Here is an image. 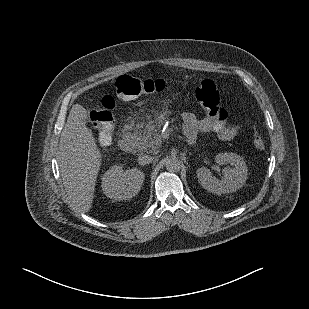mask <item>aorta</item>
Here are the masks:
<instances>
[{
    "mask_svg": "<svg viewBox=\"0 0 309 309\" xmlns=\"http://www.w3.org/2000/svg\"><path fill=\"white\" fill-rule=\"evenodd\" d=\"M164 163L169 172H179L182 168V162L175 157H167Z\"/></svg>",
    "mask_w": 309,
    "mask_h": 309,
    "instance_id": "762f6f07",
    "label": "aorta"
}]
</instances>
